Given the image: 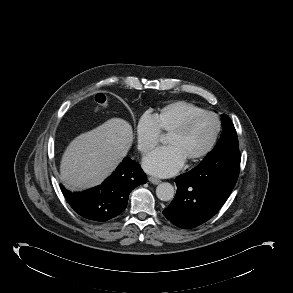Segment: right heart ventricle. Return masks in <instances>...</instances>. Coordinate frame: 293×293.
<instances>
[{"instance_id": "1", "label": "right heart ventricle", "mask_w": 293, "mask_h": 293, "mask_svg": "<svg viewBox=\"0 0 293 293\" xmlns=\"http://www.w3.org/2000/svg\"><path fill=\"white\" fill-rule=\"evenodd\" d=\"M203 110V108L194 103L178 100L162 106L153 116L156 119L160 132L170 133L188 117Z\"/></svg>"}]
</instances>
